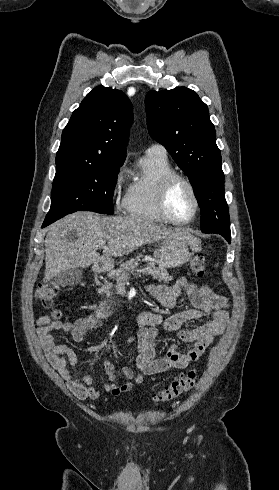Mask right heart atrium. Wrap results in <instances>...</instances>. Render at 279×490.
<instances>
[{"label":"right heart atrium","mask_w":279,"mask_h":490,"mask_svg":"<svg viewBox=\"0 0 279 490\" xmlns=\"http://www.w3.org/2000/svg\"><path fill=\"white\" fill-rule=\"evenodd\" d=\"M125 168L124 167H121L115 174V177H114V183H113V192H114V195L117 197L116 198V204L119 205V195L122 191V189L125 187L126 185V180H125ZM125 206V202L123 204Z\"/></svg>","instance_id":"1"}]
</instances>
